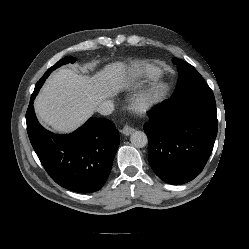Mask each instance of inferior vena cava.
<instances>
[{
  "label": "inferior vena cava",
  "mask_w": 249,
  "mask_h": 249,
  "mask_svg": "<svg viewBox=\"0 0 249 249\" xmlns=\"http://www.w3.org/2000/svg\"><path fill=\"white\" fill-rule=\"evenodd\" d=\"M114 110V104L110 100L103 101L98 107L97 112H99L102 115H109Z\"/></svg>",
  "instance_id": "1"
}]
</instances>
